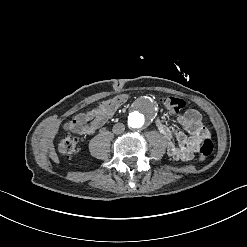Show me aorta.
<instances>
[{"label":"aorta","mask_w":247,"mask_h":247,"mask_svg":"<svg viewBox=\"0 0 247 247\" xmlns=\"http://www.w3.org/2000/svg\"><path fill=\"white\" fill-rule=\"evenodd\" d=\"M144 124V116L138 112H135L129 117V125L132 128L142 127Z\"/></svg>","instance_id":"obj_1"}]
</instances>
